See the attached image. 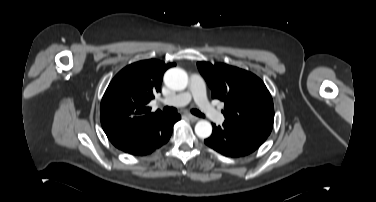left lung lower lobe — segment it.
<instances>
[{"label": "left lung lower lobe", "instance_id": "1", "mask_svg": "<svg viewBox=\"0 0 376 202\" xmlns=\"http://www.w3.org/2000/svg\"><path fill=\"white\" fill-rule=\"evenodd\" d=\"M267 137L262 132L225 121L222 126L213 124V133L204 142L225 156L240 157L254 152Z\"/></svg>", "mask_w": 376, "mask_h": 202}]
</instances>
